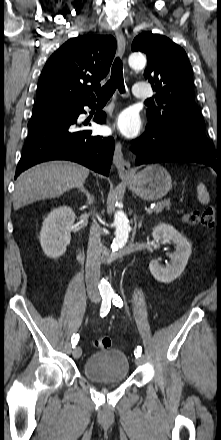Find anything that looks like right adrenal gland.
<instances>
[{"label":"right adrenal gland","mask_w":221,"mask_h":440,"mask_svg":"<svg viewBox=\"0 0 221 440\" xmlns=\"http://www.w3.org/2000/svg\"><path fill=\"white\" fill-rule=\"evenodd\" d=\"M79 191L83 192L86 195L87 205H91L93 203L94 196L91 195L84 186L79 187Z\"/></svg>","instance_id":"2a0ac1e0"}]
</instances>
